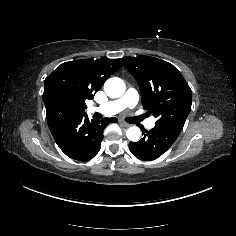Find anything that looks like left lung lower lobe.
Masks as SVG:
<instances>
[{
    "instance_id": "obj_1",
    "label": "left lung lower lobe",
    "mask_w": 236,
    "mask_h": 236,
    "mask_svg": "<svg viewBox=\"0 0 236 236\" xmlns=\"http://www.w3.org/2000/svg\"><path fill=\"white\" fill-rule=\"evenodd\" d=\"M143 138L138 142H130L132 154L141 160H154L164 154L178 138L182 127L173 124H157L149 131L140 126Z\"/></svg>"
}]
</instances>
